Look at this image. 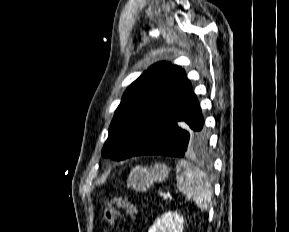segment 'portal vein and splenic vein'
<instances>
[{
	"label": "portal vein and splenic vein",
	"mask_w": 289,
	"mask_h": 232,
	"mask_svg": "<svg viewBox=\"0 0 289 232\" xmlns=\"http://www.w3.org/2000/svg\"><path fill=\"white\" fill-rule=\"evenodd\" d=\"M169 198H171V194L168 193V194H165L163 195L162 199L165 201V200H168Z\"/></svg>",
	"instance_id": "18ae733b"
}]
</instances>
